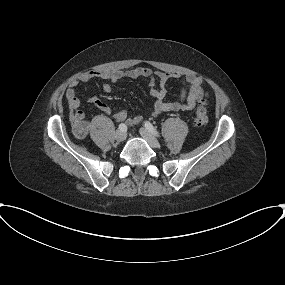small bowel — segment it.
<instances>
[{"label": "small bowel", "instance_id": "small-bowel-1", "mask_svg": "<svg viewBox=\"0 0 285 285\" xmlns=\"http://www.w3.org/2000/svg\"><path fill=\"white\" fill-rule=\"evenodd\" d=\"M94 78H100L104 80L103 91L110 93L113 89V84L118 83L122 79H145L149 83L150 94L154 98V105L151 110L152 116H158L164 112H181L193 109L198 102L204 99L206 93L203 89V80L192 74L183 75L180 73H170L163 71L154 72L147 67H137L131 70L125 71H110V70H96L82 73L76 79H74L68 90L66 91V99L71 109L75 110L73 115V121H84L85 114L81 110V100L78 96L76 88L79 84L87 82ZM170 79H178L183 83V88L180 93V99L178 101H166V89L165 85ZM93 103L100 111L106 114H113V117L117 121H125L128 126H133L140 123L143 119L142 115H135L128 117L127 111L124 109H117L115 111L112 108L100 100L97 96H91L88 99Z\"/></svg>", "mask_w": 285, "mask_h": 285}]
</instances>
